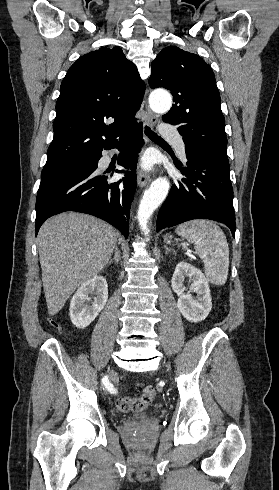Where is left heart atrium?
I'll use <instances>...</instances> for the list:
<instances>
[{"instance_id":"39dd6f15","label":"left heart atrium","mask_w":279,"mask_h":490,"mask_svg":"<svg viewBox=\"0 0 279 490\" xmlns=\"http://www.w3.org/2000/svg\"><path fill=\"white\" fill-rule=\"evenodd\" d=\"M141 167L144 169V170H150L151 169V162L148 160V159H143V161L141 162Z\"/></svg>"}]
</instances>
